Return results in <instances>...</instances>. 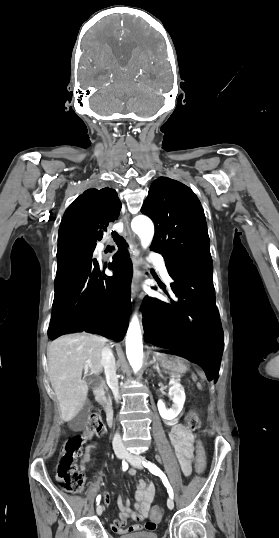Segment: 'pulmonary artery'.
Returning a JSON list of instances; mask_svg holds the SVG:
<instances>
[{"label": "pulmonary artery", "instance_id": "1", "mask_svg": "<svg viewBox=\"0 0 279 538\" xmlns=\"http://www.w3.org/2000/svg\"><path fill=\"white\" fill-rule=\"evenodd\" d=\"M157 270H158V272H160V271H161V268H160V267H157Z\"/></svg>", "mask_w": 279, "mask_h": 538}]
</instances>
